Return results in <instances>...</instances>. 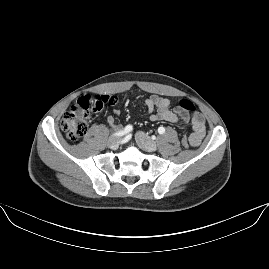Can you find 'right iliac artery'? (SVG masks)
I'll use <instances>...</instances> for the list:
<instances>
[{
    "label": "right iliac artery",
    "mask_w": 269,
    "mask_h": 269,
    "mask_svg": "<svg viewBox=\"0 0 269 269\" xmlns=\"http://www.w3.org/2000/svg\"><path fill=\"white\" fill-rule=\"evenodd\" d=\"M130 131H132V126H131V125H127V126L124 128V130L119 131V132L113 134V136H122V135H124V134H126V133H129Z\"/></svg>",
    "instance_id": "obj_1"
}]
</instances>
